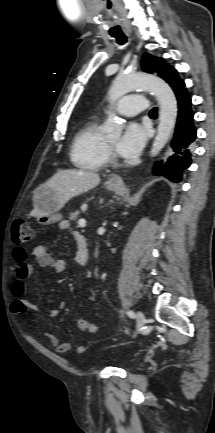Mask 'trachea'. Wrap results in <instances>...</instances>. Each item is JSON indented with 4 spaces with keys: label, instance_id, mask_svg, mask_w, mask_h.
Returning a JSON list of instances; mask_svg holds the SVG:
<instances>
[{
    "label": "trachea",
    "instance_id": "trachea-1",
    "mask_svg": "<svg viewBox=\"0 0 215 433\" xmlns=\"http://www.w3.org/2000/svg\"><path fill=\"white\" fill-rule=\"evenodd\" d=\"M113 37L116 39L117 43L120 45L126 43V41H127L126 36H124V35H118V36H113ZM156 114H157V108L154 107L150 111V115H156Z\"/></svg>",
    "mask_w": 215,
    "mask_h": 433
}]
</instances>
